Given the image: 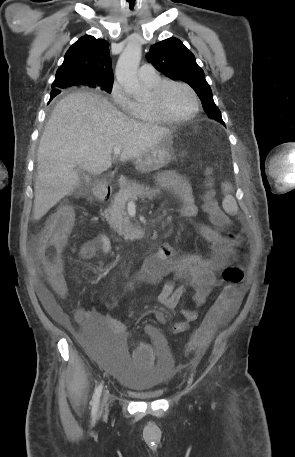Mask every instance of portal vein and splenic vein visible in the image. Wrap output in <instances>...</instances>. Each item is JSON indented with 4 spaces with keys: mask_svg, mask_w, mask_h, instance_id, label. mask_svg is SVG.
Wrapping results in <instances>:
<instances>
[{
    "mask_svg": "<svg viewBox=\"0 0 295 457\" xmlns=\"http://www.w3.org/2000/svg\"><path fill=\"white\" fill-rule=\"evenodd\" d=\"M122 149L120 146H115L114 149H113V154L115 156H118L120 153H121Z\"/></svg>",
    "mask_w": 295,
    "mask_h": 457,
    "instance_id": "1",
    "label": "portal vein and splenic vein"
}]
</instances>
